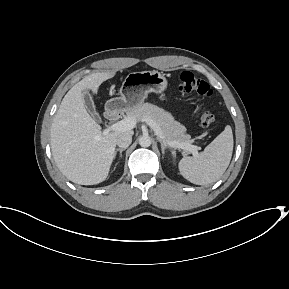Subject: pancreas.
Returning <instances> with one entry per match:
<instances>
[{
  "label": "pancreas",
  "mask_w": 289,
  "mask_h": 289,
  "mask_svg": "<svg viewBox=\"0 0 289 289\" xmlns=\"http://www.w3.org/2000/svg\"><path fill=\"white\" fill-rule=\"evenodd\" d=\"M127 117L136 121L152 119L155 121L162 132L163 137L170 143L179 142L190 144V135L186 134V128L174 119L171 113L150 103L140 104L129 110Z\"/></svg>",
  "instance_id": "1"
}]
</instances>
